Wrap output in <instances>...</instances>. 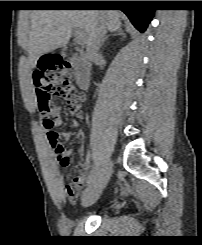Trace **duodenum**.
Returning <instances> with one entry per match:
<instances>
[{
    "instance_id": "duodenum-1",
    "label": "duodenum",
    "mask_w": 202,
    "mask_h": 245,
    "mask_svg": "<svg viewBox=\"0 0 202 245\" xmlns=\"http://www.w3.org/2000/svg\"><path fill=\"white\" fill-rule=\"evenodd\" d=\"M67 52V50H65ZM76 71V83L81 90H88L91 85V65L78 53L71 56Z\"/></svg>"
}]
</instances>
